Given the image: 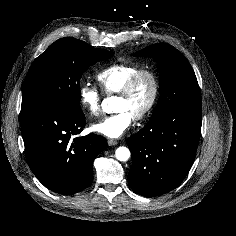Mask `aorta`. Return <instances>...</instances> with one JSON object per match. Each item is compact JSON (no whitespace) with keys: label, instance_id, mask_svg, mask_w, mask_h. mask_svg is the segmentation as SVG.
<instances>
[{"label":"aorta","instance_id":"762f6f07","mask_svg":"<svg viewBox=\"0 0 236 236\" xmlns=\"http://www.w3.org/2000/svg\"><path fill=\"white\" fill-rule=\"evenodd\" d=\"M114 99L116 98L111 97L103 102L102 107L105 112H115ZM115 156L119 161H127L130 158V150L127 147H119L115 152Z\"/></svg>","mask_w":236,"mask_h":236}]
</instances>
